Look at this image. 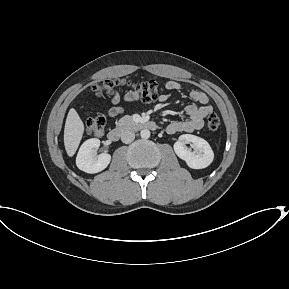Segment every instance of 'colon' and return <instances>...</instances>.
Listing matches in <instances>:
<instances>
[{
    "label": "colon",
    "instance_id": "1",
    "mask_svg": "<svg viewBox=\"0 0 289 289\" xmlns=\"http://www.w3.org/2000/svg\"><path fill=\"white\" fill-rule=\"evenodd\" d=\"M128 89L127 93H133L137 99L149 103L155 100L161 91L160 83L156 80H150L142 83H133L125 79H109L102 84L94 85L92 91L97 96L103 94L114 95L119 90ZM221 120L216 113H211L207 118V127L211 131H215L220 127ZM106 120L104 116L97 115L91 117L86 123V132L95 137H100L104 134Z\"/></svg>",
    "mask_w": 289,
    "mask_h": 289
}]
</instances>
